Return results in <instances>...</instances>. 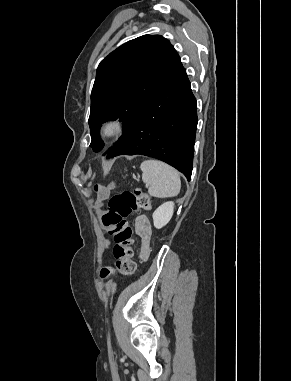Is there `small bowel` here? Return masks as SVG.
Segmentation results:
<instances>
[{
    "label": "small bowel",
    "instance_id": "c3829d8e",
    "mask_svg": "<svg viewBox=\"0 0 291 381\" xmlns=\"http://www.w3.org/2000/svg\"><path fill=\"white\" fill-rule=\"evenodd\" d=\"M136 231L138 236L141 238L143 242V250L147 249L150 237H151V226L146 216H139L135 223ZM110 245L108 240L104 241V247L108 248Z\"/></svg>",
    "mask_w": 291,
    "mask_h": 381
}]
</instances>
